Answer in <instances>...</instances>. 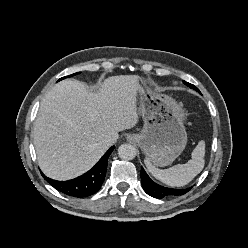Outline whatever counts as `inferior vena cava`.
I'll list each match as a JSON object with an SVG mask.
<instances>
[{"instance_id":"1","label":"inferior vena cava","mask_w":248,"mask_h":248,"mask_svg":"<svg viewBox=\"0 0 248 248\" xmlns=\"http://www.w3.org/2000/svg\"><path fill=\"white\" fill-rule=\"evenodd\" d=\"M116 138L113 136H108L103 140V144L106 146H111L112 144H114L116 142Z\"/></svg>"}]
</instances>
